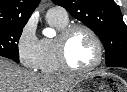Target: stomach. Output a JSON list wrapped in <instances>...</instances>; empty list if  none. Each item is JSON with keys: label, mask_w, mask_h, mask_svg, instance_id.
Returning a JSON list of instances; mask_svg holds the SVG:
<instances>
[{"label": "stomach", "mask_w": 127, "mask_h": 92, "mask_svg": "<svg viewBox=\"0 0 127 92\" xmlns=\"http://www.w3.org/2000/svg\"><path fill=\"white\" fill-rule=\"evenodd\" d=\"M118 83L116 76L103 72L85 75L74 86L72 92H113L112 83Z\"/></svg>", "instance_id": "1"}]
</instances>
